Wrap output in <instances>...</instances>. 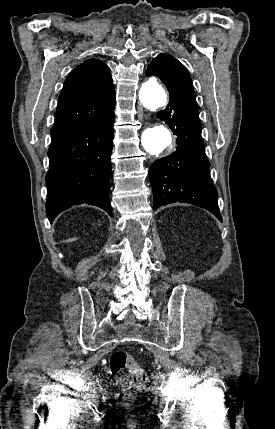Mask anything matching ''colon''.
Masks as SVG:
<instances>
[{
  "label": "colon",
  "instance_id": "5ec220e1",
  "mask_svg": "<svg viewBox=\"0 0 275 429\" xmlns=\"http://www.w3.org/2000/svg\"><path fill=\"white\" fill-rule=\"evenodd\" d=\"M111 373L122 384V390L117 398L121 403H129L135 399V395L147 382V374L138 362L126 351H114L109 358Z\"/></svg>",
  "mask_w": 275,
  "mask_h": 429
}]
</instances>
